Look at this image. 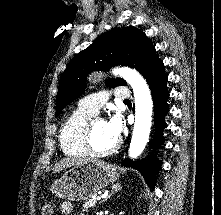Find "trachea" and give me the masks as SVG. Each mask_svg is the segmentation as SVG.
Wrapping results in <instances>:
<instances>
[{
    "instance_id": "obj_1",
    "label": "trachea",
    "mask_w": 221,
    "mask_h": 215,
    "mask_svg": "<svg viewBox=\"0 0 221 215\" xmlns=\"http://www.w3.org/2000/svg\"><path fill=\"white\" fill-rule=\"evenodd\" d=\"M124 102H129V100H128V99H126V100H124Z\"/></svg>"
}]
</instances>
